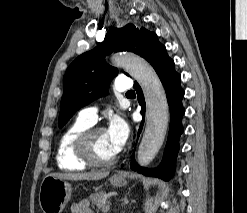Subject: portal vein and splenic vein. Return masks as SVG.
I'll use <instances>...</instances> for the list:
<instances>
[{"mask_svg":"<svg viewBox=\"0 0 247 213\" xmlns=\"http://www.w3.org/2000/svg\"><path fill=\"white\" fill-rule=\"evenodd\" d=\"M109 209H110L109 205H104L102 210H103V212H107V211H109Z\"/></svg>","mask_w":247,"mask_h":213,"instance_id":"obj_1","label":"portal vein and splenic vein"}]
</instances>
